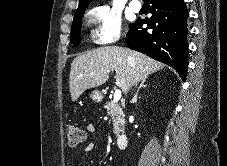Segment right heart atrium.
I'll return each instance as SVG.
<instances>
[{"mask_svg": "<svg viewBox=\"0 0 227 166\" xmlns=\"http://www.w3.org/2000/svg\"><path fill=\"white\" fill-rule=\"evenodd\" d=\"M89 17L95 25L94 38L98 44H112L119 39L122 22L113 9L105 5L96 6L89 11Z\"/></svg>", "mask_w": 227, "mask_h": 166, "instance_id": "d8ad5b80", "label": "right heart atrium"}]
</instances>
